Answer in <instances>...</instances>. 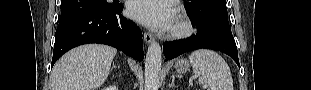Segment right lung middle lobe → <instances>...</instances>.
<instances>
[{"label":"right lung middle lobe","instance_id":"right-lung-middle-lobe-1","mask_svg":"<svg viewBox=\"0 0 311 90\" xmlns=\"http://www.w3.org/2000/svg\"><path fill=\"white\" fill-rule=\"evenodd\" d=\"M114 3L106 0H61L60 21L86 12H104L115 8Z\"/></svg>","mask_w":311,"mask_h":90}]
</instances>
